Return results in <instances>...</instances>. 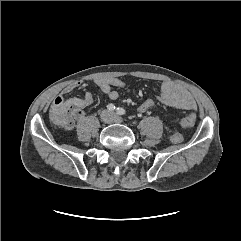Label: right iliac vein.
Returning <instances> with one entry per match:
<instances>
[{"instance_id": "63e3f726", "label": "right iliac vein", "mask_w": 241, "mask_h": 241, "mask_svg": "<svg viewBox=\"0 0 241 241\" xmlns=\"http://www.w3.org/2000/svg\"><path fill=\"white\" fill-rule=\"evenodd\" d=\"M104 120H105V122H109L111 120V118L108 114H105Z\"/></svg>"}]
</instances>
